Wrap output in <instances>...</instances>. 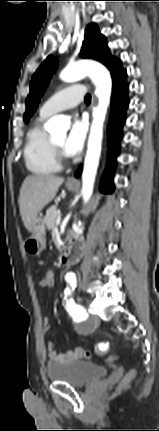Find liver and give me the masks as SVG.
<instances>
[{"label": "liver", "mask_w": 159, "mask_h": 431, "mask_svg": "<svg viewBox=\"0 0 159 431\" xmlns=\"http://www.w3.org/2000/svg\"><path fill=\"white\" fill-rule=\"evenodd\" d=\"M64 178L54 175H30L25 178L19 196L20 215L24 226L31 232L35 219L58 192Z\"/></svg>", "instance_id": "liver-1"}]
</instances>
